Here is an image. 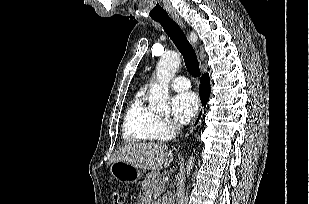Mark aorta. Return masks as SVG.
<instances>
[{
    "instance_id": "1",
    "label": "aorta",
    "mask_w": 309,
    "mask_h": 204,
    "mask_svg": "<svg viewBox=\"0 0 309 204\" xmlns=\"http://www.w3.org/2000/svg\"><path fill=\"white\" fill-rule=\"evenodd\" d=\"M181 64L180 55L176 52H167L159 60L156 67L157 83L150 89L149 107L157 113L170 111L169 83ZM194 157L191 156L187 165V174L193 168Z\"/></svg>"
}]
</instances>
